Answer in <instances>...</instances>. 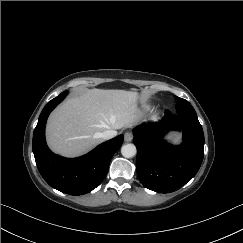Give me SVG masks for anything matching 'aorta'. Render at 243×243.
Wrapping results in <instances>:
<instances>
[{"label": "aorta", "mask_w": 243, "mask_h": 243, "mask_svg": "<svg viewBox=\"0 0 243 243\" xmlns=\"http://www.w3.org/2000/svg\"><path fill=\"white\" fill-rule=\"evenodd\" d=\"M136 152H137L136 146L134 144H131V143L125 144L121 148V154L125 158H131V157L135 156Z\"/></svg>", "instance_id": "1"}]
</instances>
